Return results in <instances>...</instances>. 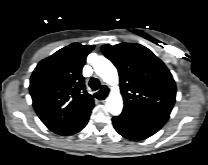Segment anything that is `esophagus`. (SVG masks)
Instances as JSON below:
<instances>
[{"label":"esophagus","instance_id":"esophagus-1","mask_svg":"<svg viewBox=\"0 0 208 165\" xmlns=\"http://www.w3.org/2000/svg\"><path fill=\"white\" fill-rule=\"evenodd\" d=\"M104 88L108 89L107 86H104ZM106 100H107V97L105 99L101 100L100 102H105Z\"/></svg>","mask_w":208,"mask_h":165}]
</instances>
